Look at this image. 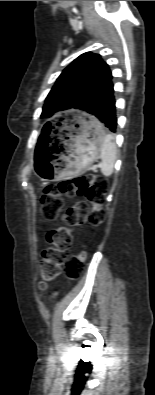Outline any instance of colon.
<instances>
[{"label": "colon", "mask_w": 155, "mask_h": 395, "mask_svg": "<svg viewBox=\"0 0 155 395\" xmlns=\"http://www.w3.org/2000/svg\"><path fill=\"white\" fill-rule=\"evenodd\" d=\"M108 190V181L97 175L85 174L60 182L57 186L47 187L41 196V212L44 219L56 220L63 209L65 197L82 196L85 198L64 210L61 215L63 225L49 231L46 240L49 247L41 257L40 287L54 280L65 265L68 279H78L83 272L86 257L84 252L65 261L67 250L72 243V233L86 222L98 226L105 219L103 204Z\"/></svg>", "instance_id": "obj_1"}]
</instances>
